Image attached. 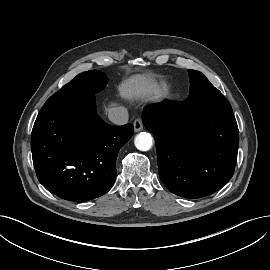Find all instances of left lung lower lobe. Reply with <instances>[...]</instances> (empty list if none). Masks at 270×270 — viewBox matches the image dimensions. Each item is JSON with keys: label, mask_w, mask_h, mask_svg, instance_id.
I'll return each instance as SVG.
<instances>
[{"label": "left lung lower lobe", "mask_w": 270, "mask_h": 270, "mask_svg": "<svg viewBox=\"0 0 270 270\" xmlns=\"http://www.w3.org/2000/svg\"><path fill=\"white\" fill-rule=\"evenodd\" d=\"M143 122L154 134L160 179L172 193L205 197L233 176L239 146L233 111L202 112L189 93L182 103L153 105Z\"/></svg>", "instance_id": "1"}]
</instances>
